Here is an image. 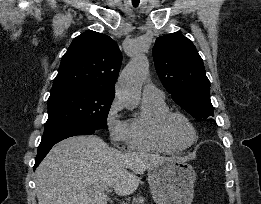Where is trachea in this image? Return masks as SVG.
I'll use <instances>...</instances> for the list:
<instances>
[{
  "label": "trachea",
  "mask_w": 261,
  "mask_h": 204,
  "mask_svg": "<svg viewBox=\"0 0 261 204\" xmlns=\"http://www.w3.org/2000/svg\"><path fill=\"white\" fill-rule=\"evenodd\" d=\"M133 6H134V7H137V6H138V4H133Z\"/></svg>",
  "instance_id": "obj_1"
}]
</instances>
